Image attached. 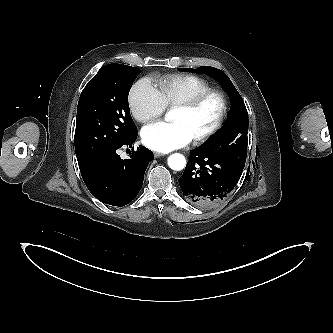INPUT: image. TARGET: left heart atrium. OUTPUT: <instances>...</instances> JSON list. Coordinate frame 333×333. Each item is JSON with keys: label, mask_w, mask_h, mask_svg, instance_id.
Segmentation results:
<instances>
[{"label": "left heart atrium", "mask_w": 333, "mask_h": 333, "mask_svg": "<svg viewBox=\"0 0 333 333\" xmlns=\"http://www.w3.org/2000/svg\"><path fill=\"white\" fill-rule=\"evenodd\" d=\"M141 139L149 149L163 153L182 148L192 141L185 126L177 122L149 124L142 129Z\"/></svg>", "instance_id": "39dd6f15"}]
</instances>
